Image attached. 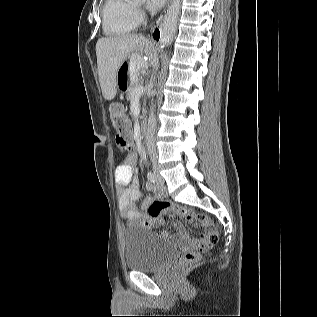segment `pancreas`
I'll list each match as a JSON object with an SVG mask.
<instances>
[{"label": "pancreas", "instance_id": "1", "mask_svg": "<svg viewBox=\"0 0 317 317\" xmlns=\"http://www.w3.org/2000/svg\"><path fill=\"white\" fill-rule=\"evenodd\" d=\"M137 76V75H136ZM141 80L138 79V82L131 83L130 87H128L127 98H132V93L135 92V89H140L142 87Z\"/></svg>", "mask_w": 317, "mask_h": 317}]
</instances>
